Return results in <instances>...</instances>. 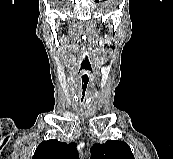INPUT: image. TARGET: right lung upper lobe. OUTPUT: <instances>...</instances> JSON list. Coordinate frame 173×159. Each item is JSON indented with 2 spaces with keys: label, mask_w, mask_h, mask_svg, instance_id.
I'll list each match as a JSON object with an SVG mask.
<instances>
[{
  "label": "right lung upper lobe",
  "mask_w": 173,
  "mask_h": 159,
  "mask_svg": "<svg viewBox=\"0 0 173 159\" xmlns=\"http://www.w3.org/2000/svg\"><path fill=\"white\" fill-rule=\"evenodd\" d=\"M76 143L66 144L58 140L43 141L36 148L32 159H78Z\"/></svg>",
  "instance_id": "1"
}]
</instances>
